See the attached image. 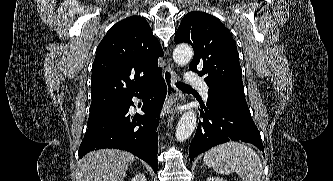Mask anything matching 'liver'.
I'll use <instances>...</instances> for the list:
<instances>
[{
  "label": "liver",
  "instance_id": "6515ba94",
  "mask_svg": "<svg viewBox=\"0 0 333 181\" xmlns=\"http://www.w3.org/2000/svg\"><path fill=\"white\" fill-rule=\"evenodd\" d=\"M134 155L117 149L86 154L77 165L78 181H123Z\"/></svg>",
  "mask_w": 333,
  "mask_h": 181
}]
</instances>
